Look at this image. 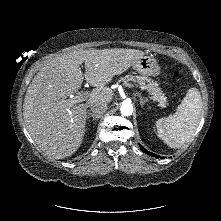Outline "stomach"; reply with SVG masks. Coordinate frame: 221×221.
Segmentation results:
<instances>
[{
	"instance_id": "stomach-1",
	"label": "stomach",
	"mask_w": 221,
	"mask_h": 221,
	"mask_svg": "<svg viewBox=\"0 0 221 221\" xmlns=\"http://www.w3.org/2000/svg\"><path fill=\"white\" fill-rule=\"evenodd\" d=\"M133 69L144 76H156L161 73L160 66L156 59L151 56H143L133 65Z\"/></svg>"
}]
</instances>
